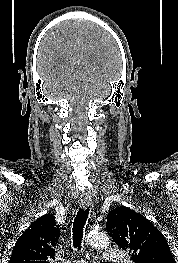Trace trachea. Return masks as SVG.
Instances as JSON below:
<instances>
[{"instance_id": "1", "label": "trachea", "mask_w": 178, "mask_h": 263, "mask_svg": "<svg viewBox=\"0 0 178 263\" xmlns=\"http://www.w3.org/2000/svg\"><path fill=\"white\" fill-rule=\"evenodd\" d=\"M89 215V207L86 209H79L73 222V246L80 248L83 238V229Z\"/></svg>"}]
</instances>
